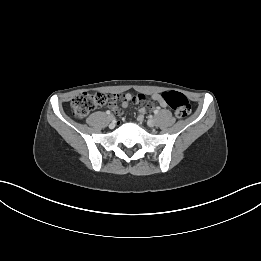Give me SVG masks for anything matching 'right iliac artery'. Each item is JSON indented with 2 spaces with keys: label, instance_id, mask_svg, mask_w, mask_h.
Here are the masks:
<instances>
[{
  "label": "right iliac artery",
  "instance_id": "right-iliac-artery-1",
  "mask_svg": "<svg viewBox=\"0 0 261 261\" xmlns=\"http://www.w3.org/2000/svg\"><path fill=\"white\" fill-rule=\"evenodd\" d=\"M110 113H111V112H110L109 110L106 111V114L110 115Z\"/></svg>",
  "mask_w": 261,
  "mask_h": 261
}]
</instances>
